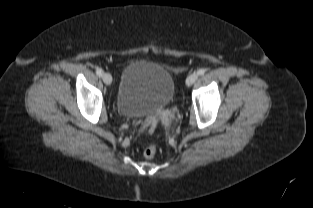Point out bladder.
I'll return each instance as SVG.
<instances>
[{
	"instance_id": "31cf9c89",
	"label": "bladder",
	"mask_w": 313,
	"mask_h": 208,
	"mask_svg": "<svg viewBox=\"0 0 313 208\" xmlns=\"http://www.w3.org/2000/svg\"><path fill=\"white\" fill-rule=\"evenodd\" d=\"M175 81L162 66L133 61L125 66L117 95V111L136 118L158 115L172 101Z\"/></svg>"
}]
</instances>
